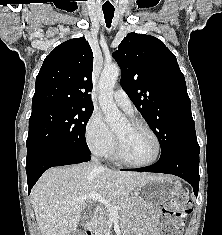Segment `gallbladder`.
I'll return each mask as SVG.
<instances>
[{
  "instance_id": "1",
  "label": "gallbladder",
  "mask_w": 222,
  "mask_h": 235,
  "mask_svg": "<svg viewBox=\"0 0 222 235\" xmlns=\"http://www.w3.org/2000/svg\"><path fill=\"white\" fill-rule=\"evenodd\" d=\"M94 213V206L87 204L82 208L81 215H80V220L81 222H87L89 221Z\"/></svg>"
}]
</instances>
